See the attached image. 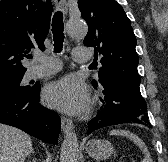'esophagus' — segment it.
I'll return each instance as SVG.
<instances>
[{
    "instance_id": "obj_1",
    "label": "esophagus",
    "mask_w": 168,
    "mask_h": 162,
    "mask_svg": "<svg viewBox=\"0 0 168 162\" xmlns=\"http://www.w3.org/2000/svg\"><path fill=\"white\" fill-rule=\"evenodd\" d=\"M56 7L60 9L64 14L67 13L68 6L66 0H55ZM61 128L64 134H68L73 129V122L71 119L62 116L61 117Z\"/></svg>"
}]
</instances>
